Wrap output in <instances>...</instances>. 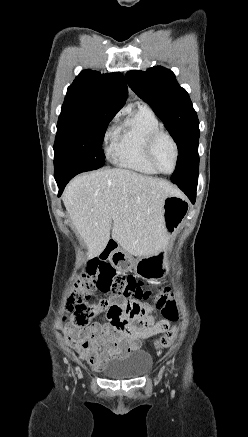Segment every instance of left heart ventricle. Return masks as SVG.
Instances as JSON below:
<instances>
[{
  "label": "left heart ventricle",
  "instance_id": "obj_1",
  "mask_svg": "<svg viewBox=\"0 0 248 437\" xmlns=\"http://www.w3.org/2000/svg\"><path fill=\"white\" fill-rule=\"evenodd\" d=\"M174 149L170 140L161 137L155 147V159L159 168L164 172H170L174 165Z\"/></svg>",
  "mask_w": 248,
  "mask_h": 437
}]
</instances>
